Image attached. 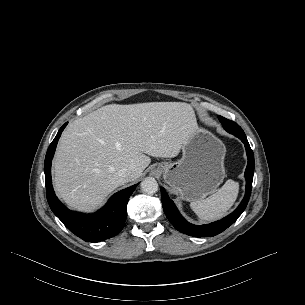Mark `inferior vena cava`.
Listing matches in <instances>:
<instances>
[{
    "instance_id": "inferior-vena-cava-1",
    "label": "inferior vena cava",
    "mask_w": 305,
    "mask_h": 305,
    "mask_svg": "<svg viewBox=\"0 0 305 305\" xmlns=\"http://www.w3.org/2000/svg\"><path fill=\"white\" fill-rule=\"evenodd\" d=\"M119 178L122 182H128L131 175H132V169L130 168H122L118 172Z\"/></svg>"
}]
</instances>
